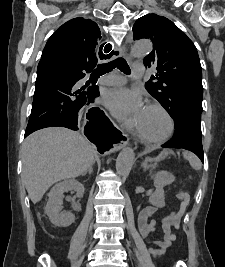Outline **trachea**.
<instances>
[{"instance_id": "obj_1", "label": "trachea", "mask_w": 225, "mask_h": 267, "mask_svg": "<svg viewBox=\"0 0 225 267\" xmlns=\"http://www.w3.org/2000/svg\"><path fill=\"white\" fill-rule=\"evenodd\" d=\"M115 67H117L120 71L124 72L125 74H130L131 70L129 65L127 64L126 60L123 58H117L114 61L105 64H99L97 68L94 70L95 74L103 75L112 71Z\"/></svg>"}]
</instances>
